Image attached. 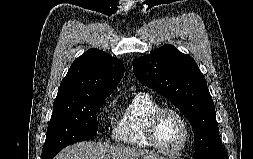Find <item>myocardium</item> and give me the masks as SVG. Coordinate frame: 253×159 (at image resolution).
<instances>
[{
	"instance_id": "f54148a6",
	"label": "myocardium",
	"mask_w": 253,
	"mask_h": 159,
	"mask_svg": "<svg viewBox=\"0 0 253 159\" xmlns=\"http://www.w3.org/2000/svg\"><path fill=\"white\" fill-rule=\"evenodd\" d=\"M164 113H173L175 114L180 121L183 124L185 135H184V140L180 147H178L175 150H168L163 148L157 138V124L160 119V117ZM146 137L150 143V145L160 151L161 153L169 156H175V155H180L184 150L187 148L189 141H190V126L185 118V116L177 109L171 108V107H159L155 111H153L150 116L148 117L147 123H146Z\"/></svg>"
}]
</instances>
